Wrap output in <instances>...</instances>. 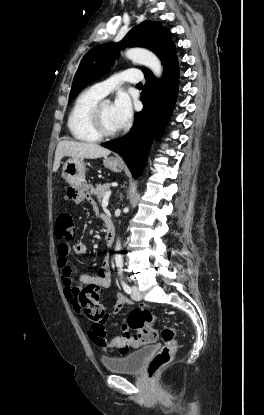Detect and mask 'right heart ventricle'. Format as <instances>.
Masks as SVG:
<instances>
[{
	"mask_svg": "<svg viewBox=\"0 0 264 415\" xmlns=\"http://www.w3.org/2000/svg\"><path fill=\"white\" fill-rule=\"evenodd\" d=\"M101 98L91 89L76 98L67 121L69 132L75 140L88 143L100 140L90 126L89 113Z\"/></svg>",
	"mask_w": 264,
	"mask_h": 415,
	"instance_id": "1",
	"label": "right heart ventricle"
}]
</instances>
